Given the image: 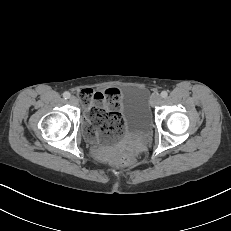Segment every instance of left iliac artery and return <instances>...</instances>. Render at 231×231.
<instances>
[{
  "label": "left iliac artery",
  "mask_w": 231,
  "mask_h": 231,
  "mask_svg": "<svg viewBox=\"0 0 231 231\" xmlns=\"http://www.w3.org/2000/svg\"><path fill=\"white\" fill-rule=\"evenodd\" d=\"M168 96V92L167 91H162L161 92V97L166 98Z\"/></svg>",
  "instance_id": "left-iliac-artery-1"
}]
</instances>
